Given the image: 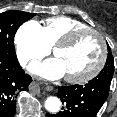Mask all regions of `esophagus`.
I'll use <instances>...</instances> for the list:
<instances>
[{"label":"esophagus","instance_id":"34e87169","mask_svg":"<svg viewBox=\"0 0 117 117\" xmlns=\"http://www.w3.org/2000/svg\"><path fill=\"white\" fill-rule=\"evenodd\" d=\"M32 88L35 89L38 92L41 91V90L44 91V92H47V91H51L52 90V88L50 86L40 87L39 84H37L35 82L32 84Z\"/></svg>","mask_w":117,"mask_h":117}]
</instances>
